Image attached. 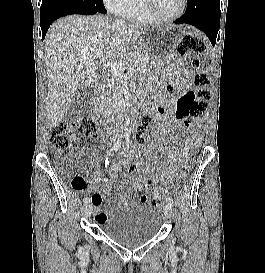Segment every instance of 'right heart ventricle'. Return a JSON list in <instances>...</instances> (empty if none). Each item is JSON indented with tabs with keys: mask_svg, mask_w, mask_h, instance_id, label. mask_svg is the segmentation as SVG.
Returning a JSON list of instances; mask_svg holds the SVG:
<instances>
[{
	"mask_svg": "<svg viewBox=\"0 0 265 273\" xmlns=\"http://www.w3.org/2000/svg\"><path fill=\"white\" fill-rule=\"evenodd\" d=\"M127 19L136 22L150 24L153 23L143 9L141 0H134L132 6L123 14Z\"/></svg>",
	"mask_w": 265,
	"mask_h": 273,
	"instance_id": "right-heart-ventricle-1",
	"label": "right heart ventricle"
}]
</instances>
